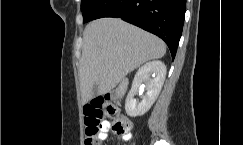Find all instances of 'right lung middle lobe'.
<instances>
[{
  "label": "right lung middle lobe",
  "mask_w": 243,
  "mask_h": 145,
  "mask_svg": "<svg viewBox=\"0 0 243 145\" xmlns=\"http://www.w3.org/2000/svg\"><path fill=\"white\" fill-rule=\"evenodd\" d=\"M92 2L93 0H81V11L83 12Z\"/></svg>",
  "instance_id": "right-lung-middle-lobe-1"
}]
</instances>
